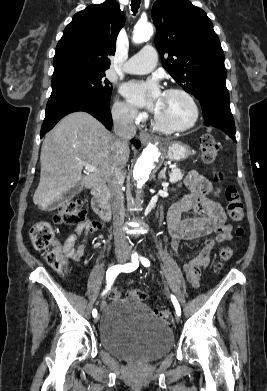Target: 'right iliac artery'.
<instances>
[{
  "instance_id": "82829eb1",
  "label": "right iliac artery",
  "mask_w": 267,
  "mask_h": 391,
  "mask_svg": "<svg viewBox=\"0 0 267 391\" xmlns=\"http://www.w3.org/2000/svg\"><path fill=\"white\" fill-rule=\"evenodd\" d=\"M138 266H139L138 258L136 256H133L132 257V263H128V264H125V265H115V266L110 267L107 270V272H106L107 288H110L111 284L113 283V281L115 280L116 276L120 272H132L135 269H137ZM92 315H93V317L97 316V310L96 309H94L92 311Z\"/></svg>"
}]
</instances>
